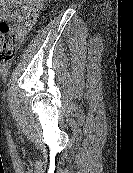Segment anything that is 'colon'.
I'll return each mask as SVG.
<instances>
[{
    "label": "colon",
    "mask_w": 133,
    "mask_h": 173,
    "mask_svg": "<svg viewBox=\"0 0 133 173\" xmlns=\"http://www.w3.org/2000/svg\"><path fill=\"white\" fill-rule=\"evenodd\" d=\"M17 37L11 33L7 23L0 21V61L8 62L15 55Z\"/></svg>",
    "instance_id": "5ec220e1"
}]
</instances>
